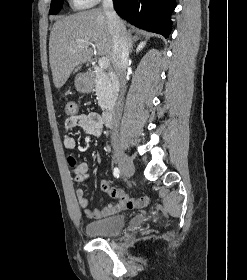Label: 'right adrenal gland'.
<instances>
[{
	"label": "right adrenal gland",
	"mask_w": 247,
	"mask_h": 280,
	"mask_svg": "<svg viewBox=\"0 0 247 280\" xmlns=\"http://www.w3.org/2000/svg\"><path fill=\"white\" fill-rule=\"evenodd\" d=\"M138 40L137 37H132L131 32H129V53L131 54L133 52V43Z\"/></svg>",
	"instance_id": "2a0ac1e0"
}]
</instances>
